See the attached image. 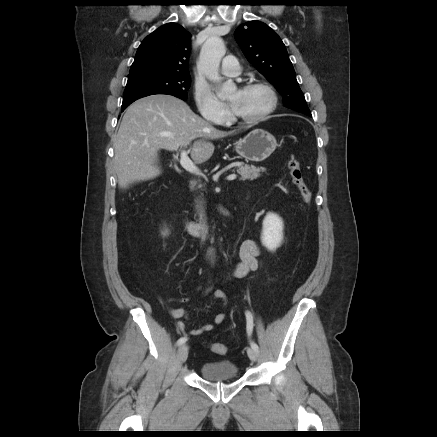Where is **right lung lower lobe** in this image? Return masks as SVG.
Listing matches in <instances>:
<instances>
[{
	"label": "right lung lower lobe",
	"instance_id": "1",
	"mask_svg": "<svg viewBox=\"0 0 437 437\" xmlns=\"http://www.w3.org/2000/svg\"><path fill=\"white\" fill-rule=\"evenodd\" d=\"M126 108H127V107H123V108H122V111H124Z\"/></svg>",
	"mask_w": 437,
	"mask_h": 437
}]
</instances>
